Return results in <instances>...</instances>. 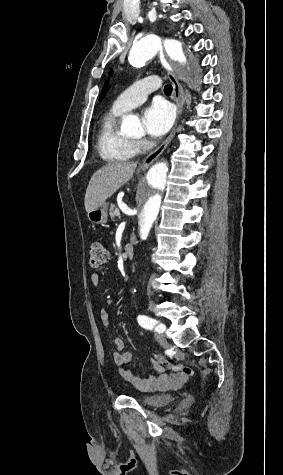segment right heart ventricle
Here are the masks:
<instances>
[{
  "mask_svg": "<svg viewBox=\"0 0 283 475\" xmlns=\"http://www.w3.org/2000/svg\"><path fill=\"white\" fill-rule=\"evenodd\" d=\"M123 113V110L112 106L99 121L97 146L103 159L108 162L129 160L138 150L119 128L118 121Z\"/></svg>",
  "mask_w": 283,
  "mask_h": 475,
  "instance_id": "obj_1",
  "label": "right heart ventricle"
}]
</instances>
